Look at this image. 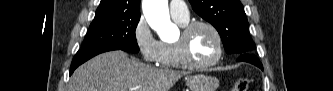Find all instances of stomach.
I'll use <instances>...</instances> for the list:
<instances>
[{
    "label": "stomach",
    "instance_id": "1",
    "mask_svg": "<svg viewBox=\"0 0 333 91\" xmlns=\"http://www.w3.org/2000/svg\"><path fill=\"white\" fill-rule=\"evenodd\" d=\"M190 91H216L219 80L216 77L198 74L186 79Z\"/></svg>",
    "mask_w": 333,
    "mask_h": 91
}]
</instances>
